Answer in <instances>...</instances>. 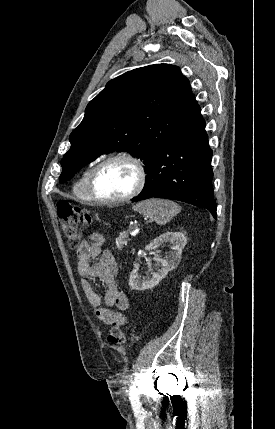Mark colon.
Returning a JSON list of instances; mask_svg holds the SVG:
<instances>
[{
    "mask_svg": "<svg viewBox=\"0 0 275 429\" xmlns=\"http://www.w3.org/2000/svg\"><path fill=\"white\" fill-rule=\"evenodd\" d=\"M56 210L68 246L71 249L78 248L81 244L82 228L91 223L90 215L67 201L58 202ZM127 340V332L120 324L113 323L107 335L108 343L114 346H122Z\"/></svg>",
    "mask_w": 275,
    "mask_h": 429,
    "instance_id": "colon-1",
    "label": "colon"
}]
</instances>
